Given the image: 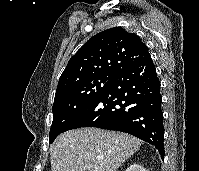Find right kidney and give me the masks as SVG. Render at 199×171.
<instances>
[{
	"label": "right kidney",
	"mask_w": 199,
	"mask_h": 171,
	"mask_svg": "<svg viewBox=\"0 0 199 171\" xmlns=\"http://www.w3.org/2000/svg\"><path fill=\"white\" fill-rule=\"evenodd\" d=\"M126 171H146V170L141 165L134 163V164L130 165L126 169Z\"/></svg>",
	"instance_id": "ca27d5eb"
}]
</instances>
